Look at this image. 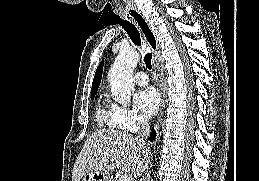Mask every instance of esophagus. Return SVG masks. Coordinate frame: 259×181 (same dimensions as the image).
<instances>
[{"instance_id": "obj_1", "label": "esophagus", "mask_w": 259, "mask_h": 181, "mask_svg": "<svg viewBox=\"0 0 259 181\" xmlns=\"http://www.w3.org/2000/svg\"><path fill=\"white\" fill-rule=\"evenodd\" d=\"M132 18L134 19L135 23L141 30L149 48L151 49V51L153 53L154 60H155V68L159 72V76L161 78L160 87H161V93H162V106H161L160 114L154 124V128L156 130H158L160 128L162 120H163L164 108H165V103H166V94H165V91L162 86V74L163 73L160 69V62H159V54H160L159 44H158L156 36H155L154 32L152 31L149 23L147 22V20L144 18V16L141 13L138 12V13L132 14Z\"/></svg>"}]
</instances>
